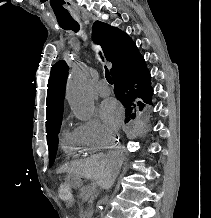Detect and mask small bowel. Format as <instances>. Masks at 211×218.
<instances>
[{
	"label": "small bowel",
	"mask_w": 211,
	"mask_h": 218,
	"mask_svg": "<svg viewBox=\"0 0 211 218\" xmlns=\"http://www.w3.org/2000/svg\"><path fill=\"white\" fill-rule=\"evenodd\" d=\"M67 207H72L74 205V201L71 199L66 202Z\"/></svg>",
	"instance_id": "1"
}]
</instances>
